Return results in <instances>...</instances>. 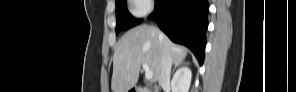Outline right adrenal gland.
<instances>
[{
    "label": "right adrenal gland",
    "mask_w": 296,
    "mask_h": 92,
    "mask_svg": "<svg viewBox=\"0 0 296 92\" xmlns=\"http://www.w3.org/2000/svg\"><path fill=\"white\" fill-rule=\"evenodd\" d=\"M184 65H187L186 62H179V63H176L175 66H174V69L172 71V73L175 71V69H177L178 67L180 66H184Z\"/></svg>",
    "instance_id": "1"
}]
</instances>
